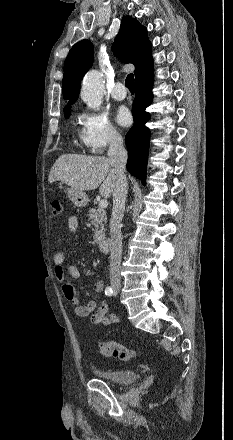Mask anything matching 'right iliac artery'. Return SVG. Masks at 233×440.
Here are the masks:
<instances>
[{"label":"right iliac artery","instance_id":"right-iliac-artery-1","mask_svg":"<svg viewBox=\"0 0 233 440\" xmlns=\"http://www.w3.org/2000/svg\"><path fill=\"white\" fill-rule=\"evenodd\" d=\"M105 294H106L107 296H112V294H113V290H112V288H111L110 286H107V287H106V289H105Z\"/></svg>","mask_w":233,"mask_h":440}]
</instances>
